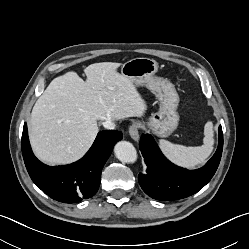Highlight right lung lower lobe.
Wrapping results in <instances>:
<instances>
[{
  "label": "right lung lower lobe",
  "instance_id": "obj_1",
  "mask_svg": "<svg viewBox=\"0 0 249 249\" xmlns=\"http://www.w3.org/2000/svg\"><path fill=\"white\" fill-rule=\"evenodd\" d=\"M122 138L120 131H101L83 158L69 165L50 167L34 156L25 123L22 154L32 181L44 193L60 202L75 203L90 198L97 192L102 168L113 146Z\"/></svg>",
  "mask_w": 249,
  "mask_h": 249
}]
</instances>
